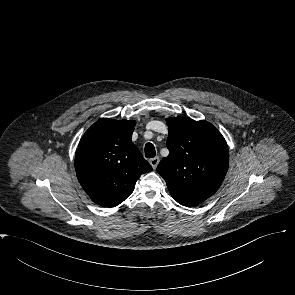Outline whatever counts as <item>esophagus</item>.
I'll return each instance as SVG.
<instances>
[{"label": "esophagus", "mask_w": 295, "mask_h": 295, "mask_svg": "<svg viewBox=\"0 0 295 295\" xmlns=\"http://www.w3.org/2000/svg\"><path fill=\"white\" fill-rule=\"evenodd\" d=\"M159 161H160L159 157H154L149 160V163L151 164L153 169H156L157 165L159 164Z\"/></svg>", "instance_id": "esophagus-1"}]
</instances>
